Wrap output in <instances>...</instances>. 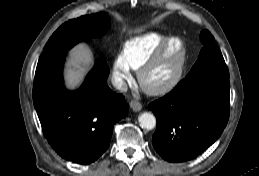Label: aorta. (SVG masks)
I'll list each match as a JSON object with an SVG mask.
<instances>
[{"label": "aorta", "instance_id": "762f6f07", "mask_svg": "<svg viewBox=\"0 0 259 176\" xmlns=\"http://www.w3.org/2000/svg\"><path fill=\"white\" fill-rule=\"evenodd\" d=\"M139 124L142 128L152 130L156 126V118L149 112L141 113L138 117Z\"/></svg>", "mask_w": 259, "mask_h": 176}]
</instances>
